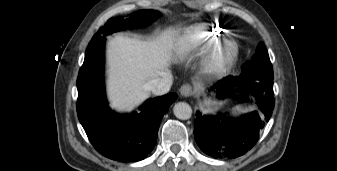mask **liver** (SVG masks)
<instances>
[{"label":"liver","instance_id":"liver-1","mask_svg":"<svg viewBox=\"0 0 337 171\" xmlns=\"http://www.w3.org/2000/svg\"><path fill=\"white\" fill-rule=\"evenodd\" d=\"M175 34L167 30L153 40L123 35L108 40L107 89L112 108L131 111L150 96L147 83L169 72L178 45Z\"/></svg>","mask_w":337,"mask_h":171}]
</instances>
